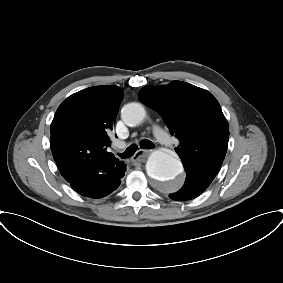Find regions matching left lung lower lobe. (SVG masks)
I'll list each match as a JSON object with an SVG mask.
<instances>
[{
    "instance_id": "0a47b994",
    "label": "left lung lower lobe",
    "mask_w": 283,
    "mask_h": 283,
    "mask_svg": "<svg viewBox=\"0 0 283 283\" xmlns=\"http://www.w3.org/2000/svg\"><path fill=\"white\" fill-rule=\"evenodd\" d=\"M186 180L184 186L176 193L170 194L169 197L173 200L184 201L196 198L212 182L211 179L198 177L191 173L186 174Z\"/></svg>"
}]
</instances>
